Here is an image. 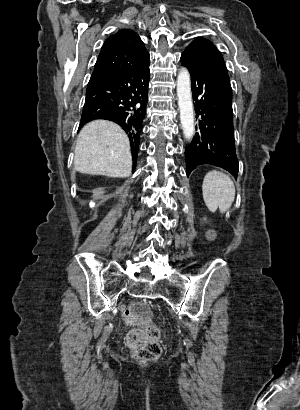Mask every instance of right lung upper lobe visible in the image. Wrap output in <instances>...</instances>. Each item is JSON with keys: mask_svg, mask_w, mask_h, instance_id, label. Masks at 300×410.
<instances>
[{"mask_svg": "<svg viewBox=\"0 0 300 410\" xmlns=\"http://www.w3.org/2000/svg\"><path fill=\"white\" fill-rule=\"evenodd\" d=\"M149 53L140 37L132 30H119L104 42L90 81L127 68H139L149 63ZM138 147L134 149L136 159Z\"/></svg>", "mask_w": 300, "mask_h": 410, "instance_id": "1", "label": "right lung upper lobe"}]
</instances>
